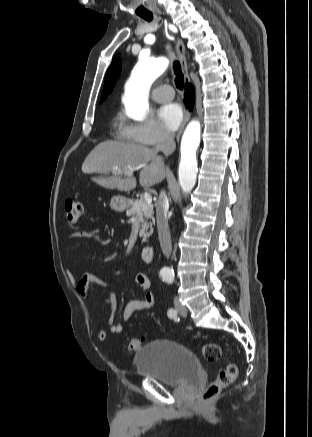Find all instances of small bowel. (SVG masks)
I'll return each instance as SVG.
<instances>
[{
    "mask_svg": "<svg viewBox=\"0 0 312 437\" xmlns=\"http://www.w3.org/2000/svg\"><path fill=\"white\" fill-rule=\"evenodd\" d=\"M99 238L102 242L108 243L109 240L103 237L98 230H82L76 231L70 234L67 238V242L78 239V238ZM135 283L141 288L144 293V297L141 299L130 300L123 309V319L128 321L132 318L133 314L137 311L148 310L154 306L156 298L152 290V285L150 279L143 273H138L134 278ZM93 284H98L100 286H108V283L91 273H86L80 279L76 285V290L78 294L85 300L91 299V287ZM105 302L109 306L110 314L108 318L107 330L100 329L98 332V338L100 341H105L107 334H119L122 331V324L115 319V314L117 311V300L113 294H109L105 298Z\"/></svg>",
    "mask_w": 312,
    "mask_h": 437,
    "instance_id": "c3829d8e",
    "label": "small bowel"
}]
</instances>
